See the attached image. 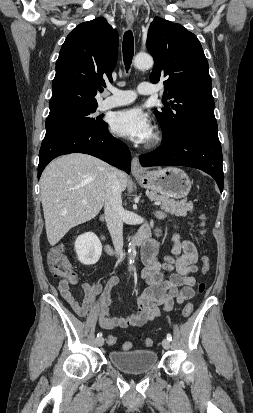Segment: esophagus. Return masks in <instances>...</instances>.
<instances>
[{"label":"esophagus","instance_id":"1","mask_svg":"<svg viewBox=\"0 0 253 413\" xmlns=\"http://www.w3.org/2000/svg\"><path fill=\"white\" fill-rule=\"evenodd\" d=\"M126 22L128 26H132L134 23V15L132 11H127L126 12ZM131 171L133 174H141L144 172V169L142 168L138 156H134L132 159L131 163Z\"/></svg>","mask_w":253,"mask_h":413}]
</instances>
